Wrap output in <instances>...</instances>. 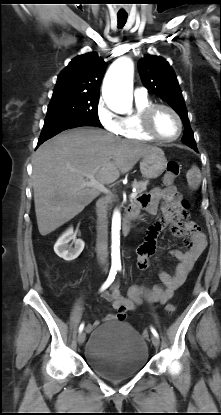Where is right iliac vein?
I'll return each mask as SVG.
<instances>
[{
    "label": "right iliac vein",
    "mask_w": 221,
    "mask_h": 415,
    "mask_svg": "<svg viewBox=\"0 0 221 415\" xmlns=\"http://www.w3.org/2000/svg\"><path fill=\"white\" fill-rule=\"evenodd\" d=\"M86 334L84 331L80 332L78 335V343L82 345L85 342Z\"/></svg>",
    "instance_id": "1"
}]
</instances>
